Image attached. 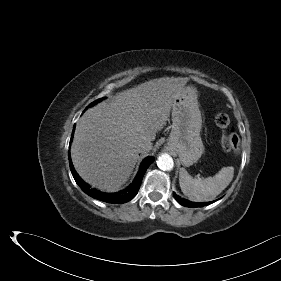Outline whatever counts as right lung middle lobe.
<instances>
[{
    "label": "right lung middle lobe",
    "instance_id": "right-lung-middle-lobe-1",
    "mask_svg": "<svg viewBox=\"0 0 281 281\" xmlns=\"http://www.w3.org/2000/svg\"><path fill=\"white\" fill-rule=\"evenodd\" d=\"M103 99H104V98H100V99L94 101L93 103H91L89 106H92V105H94L95 103H97L98 101L103 100Z\"/></svg>",
    "mask_w": 281,
    "mask_h": 281
}]
</instances>
